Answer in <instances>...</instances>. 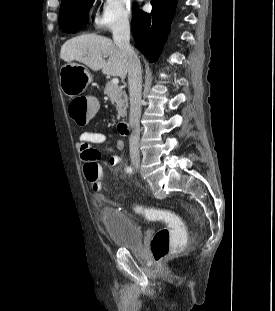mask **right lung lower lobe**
<instances>
[{"instance_id": "1", "label": "right lung lower lobe", "mask_w": 275, "mask_h": 311, "mask_svg": "<svg viewBox=\"0 0 275 311\" xmlns=\"http://www.w3.org/2000/svg\"><path fill=\"white\" fill-rule=\"evenodd\" d=\"M176 3V0H151V13L139 10L132 19L131 27L136 46L150 62H155L160 55ZM79 29L80 27L75 32Z\"/></svg>"}]
</instances>
